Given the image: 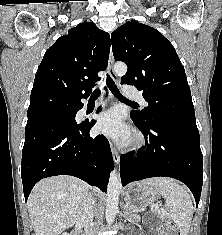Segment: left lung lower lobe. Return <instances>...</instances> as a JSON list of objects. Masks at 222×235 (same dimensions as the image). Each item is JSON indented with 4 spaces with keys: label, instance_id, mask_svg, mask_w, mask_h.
Returning a JSON list of instances; mask_svg holds the SVG:
<instances>
[{
    "label": "left lung lower lobe",
    "instance_id": "0a47b994",
    "mask_svg": "<svg viewBox=\"0 0 222 235\" xmlns=\"http://www.w3.org/2000/svg\"><path fill=\"white\" fill-rule=\"evenodd\" d=\"M145 148L137 157H121L122 185L150 177H171L188 186L198 205L203 183V155L197 126L170 120L139 123Z\"/></svg>",
    "mask_w": 222,
    "mask_h": 235
}]
</instances>
